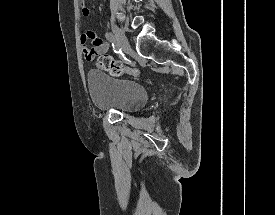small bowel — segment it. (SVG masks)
Instances as JSON below:
<instances>
[{"mask_svg": "<svg viewBox=\"0 0 275 215\" xmlns=\"http://www.w3.org/2000/svg\"><path fill=\"white\" fill-rule=\"evenodd\" d=\"M82 14L88 17L91 11L86 6L82 9ZM90 42L92 43V47L88 45ZM80 43L82 45V56L85 61H92L96 55H102L109 49V45L103 42L92 30H87L80 35Z\"/></svg>", "mask_w": 275, "mask_h": 215, "instance_id": "c3829d8e", "label": "small bowel"}]
</instances>
